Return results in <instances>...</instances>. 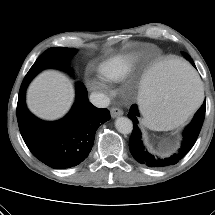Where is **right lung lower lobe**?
Wrapping results in <instances>:
<instances>
[{"mask_svg": "<svg viewBox=\"0 0 215 215\" xmlns=\"http://www.w3.org/2000/svg\"><path fill=\"white\" fill-rule=\"evenodd\" d=\"M30 81L24 78L17 104L18 125L27 147L38 160L54 169L80 164L92 149L97 128L110 119L109 111L93 106L84 84L78 82L70 112L58 121H42L25 104Z\"/></svg>", "mask_w": 215, "mask_h": 215, "instance_id": "98d812e1", "label": "right lung lower lobe"}]
</instances>
